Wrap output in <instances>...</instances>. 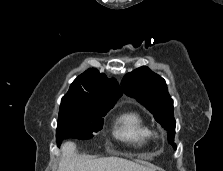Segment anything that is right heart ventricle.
Here are the masks:
<instances>
[{
    "label": "right heart ventricle",
    "mask_w": 223,
    "mask_h": 171,
    "mask_svg": "<svg viewBox=\"0 0 223 171\" xmlns=\"http://www.w3.org/2000/svg\"><path fill=\"white\" fill-rule=\"evenodd\" d=\"M114 136L131 146L140 148L148 144L152 138V130L140 113L128 111L115 119Z\"/></svg>",
    "instance_id": "obj_1"
}]
</instances>
